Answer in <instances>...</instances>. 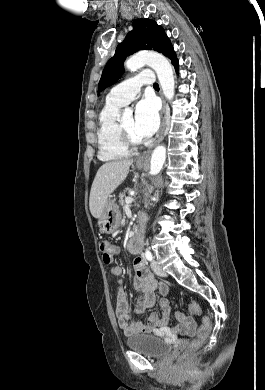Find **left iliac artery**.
I'll list each match as a JSON object with an SVG mask.
<instances>
[{"label":"left iliac artery","instance_id":"left-iliac-artery-1","mask_svg":"<svg viewBox=\"0 0 265 390\" xmlns=\"http://www.w3.org/2000/svg\"><path fill=\"white\" fill-rule=\"evenodd\" d=\"M145 257L148 261H151L153 259L152 253L149 250H146Z\"/></svg>","mask_w":265,"mask_h":390}]
</instances>
